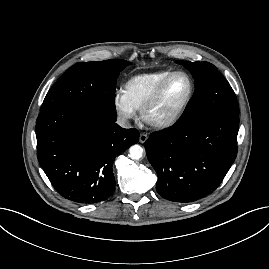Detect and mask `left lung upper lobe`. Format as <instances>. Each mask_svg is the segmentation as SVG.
Instances as JSON below:
<instances>
[{"mask_svg": "<svg viewBox=\"0 0 269 269\" xmlns=\"http://www.w3.org/2000/svg\"><path fill=\"white\" fill-rule=\"evenodd\" d=\"M188 69L195 79V92L183 115L182 124L210 114L230 112L239 114L236 95L224 76L209 62L176 61Z\"/></svg>", "mask_w": 269, "mask_h": 269, "instance_id": "obj_1", "label": "left lung upper lobe"}]
</instances>
